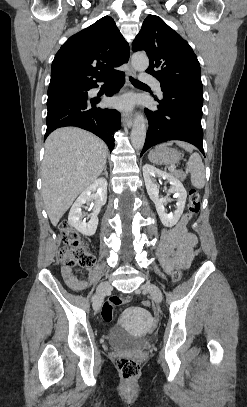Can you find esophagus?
Wrapping results in <instances>:
<instances>
[{"label":"esophagus","instance_id":"esophagus-1","mask_svg":"<svg viewBox=\"0 0 247 407\" xmlns=\"http://www.w3.org/2000/svg\"><path fill=\"white\" fill-rule=\"evenodd\" d=\"M128 76H132V77L136 76V72H135V70L130 66V63H129V69H128ZM127 86H128V87H131V84L128 82V83H127ZM122 122H123V124H124L125 126H127L128 128H130V127L132 126V124H133V116H132V113H131V114H126V115H124V116L122 117Z\"/></svg>","mask_w":247,"mask_h":407}]
</instances>
